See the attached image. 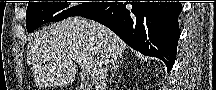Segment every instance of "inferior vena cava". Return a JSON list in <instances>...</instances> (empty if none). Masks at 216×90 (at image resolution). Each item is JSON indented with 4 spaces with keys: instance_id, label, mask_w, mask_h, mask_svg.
<instances>
[{
    "instance_id": "1",
    "label": "inferior vena cava",
    "mask_w": 216,
    "mask_h": 90,
    "mask_svg": "<svg viewBox=\"0 0 216 90\" xmlns=\"http://www.w3.org/2000/svg\"><path fill=\"white\" fill-rule=\"evenodd\" d=\"M108 64L109 58H104L102 62H100L96 74L97 82H96V90H107V72H108Z\"/></svg>"
}]
</instances>
